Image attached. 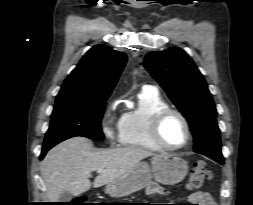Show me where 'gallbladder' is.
<instances>
[{
  "instance_id": "gallbladder-1",
  "label": "gallbladder",
  "mask_w": 253,
  "mask_h": 205,
  "mask_svg": "<svg viewBox=\"0 0 253 205\" xmlns=\"http://www.w3.org/2000/svg\"><path fill=\"white\" fill-rule=\"evenodd\" d=\"M72 199V194L68 191H64L61 193L59 197V202H70Z\"/></svg>"
}]
</instances>
